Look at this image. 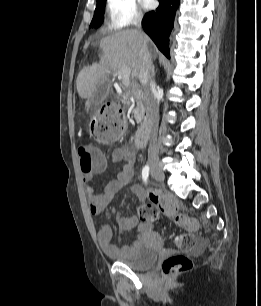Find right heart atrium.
Here are the masks:
<instances>
[{"mask_svg": "<svg viewBox=\"0 0 261 306\" xmlns=\"http://www.w3.org/2000/svg\"><path fill=\"white\" fill-rule=\"evenodd\" d=\"M109 25L114 30L136 25L141 20L137 0H107Z\"/></svg>", "mask_w": 261, "mask_h": 306, "instance_id": "d8ad5b80", "label": "right heart atrium"}]
</instances>
